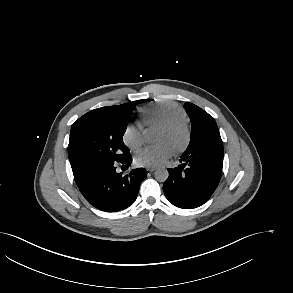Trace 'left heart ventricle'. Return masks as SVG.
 Listing matches in <instances>:
<instances>
[{
	"instance_id": "left-heart-ventricle-1",
	"label": "left heart ventricle",
	"mask_w": 293,
	"mask_h": 293,
	"mask_svg": "<svg viewBox=\"0 0 293 293\" xmlns=\"http://www.w3.org/2000/svg\"><path fill=\"white\" fill-rule=\"evenodd\" d=\"M183 140V134L182 133H176V134H169L166 133L163 130H160L159 136H158V142H167L169 143L173 148L180 144Z\"/></svg>"
}]
</instances>
